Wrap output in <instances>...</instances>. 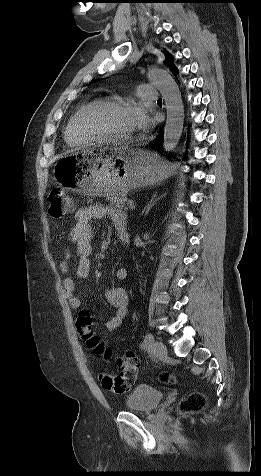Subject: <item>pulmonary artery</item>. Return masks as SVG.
<instances>
[{"mask_svg": "<svg viewBox=\"0 0 261 476\" xmlns=\"http://www.w3.org/2000/svg\"><path fill=\"white\" fill-rule=\"evenodd\" d=\"M138 96L142 100L156 101L158 99V93L156 88L151 84H141L137 89Z\"/></svg>", "mask_w": 261, "mask_h": 476, "instance_id": "obj_1", "label": "pulmonary artery"}]
</instances>
